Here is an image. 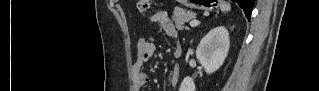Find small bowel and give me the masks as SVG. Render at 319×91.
<instances>
[{"instance_id": "small-bowel-1", "label": "small bowel", "mask_w": 319, "mask_h": 91, "mask_svg": "<svg viewBox=\"0 0 319 91\" xmlns=\"http://www.w3.org/2000/svg\"><path fill=\"white\" fill-rule=\"evenodd\" d=\"M150 21L156 23L160 28L170 37L177 38L176 28L170 19L169 15L165 11H159L154 13L150 17ZM156 45L147 40L146 38L139 39L137 43L138 58L132 65L134 86L139 89L146 86L150 82V77L145 69L146 62L152 58L156 53ZM174 56L178 57L181 54V48L178 45L174 50ZM170 83L172 86H176L180 79V69L178 65H174L169 74Z\"/></svg>"}]
</instances>
